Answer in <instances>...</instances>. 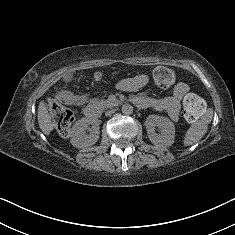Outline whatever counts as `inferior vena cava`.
I'll return each instance as SVG.
<instances>
[{
    "instance_id": "obj_1",
    "label": "inferior vena cava",
    "mask_w": 235,
    "mask_h": 235,
    "mask_svg": "<svg viewBox=\"0 0 235 235\" xmlns=\"http://www.w3.org/2000/svg\"><path fill=\"white\" fill-rule=\"evenodd\" d=\"M112 113H114L113 110L106 111V115H111Z\"/></svg>"
}]
</instances>
